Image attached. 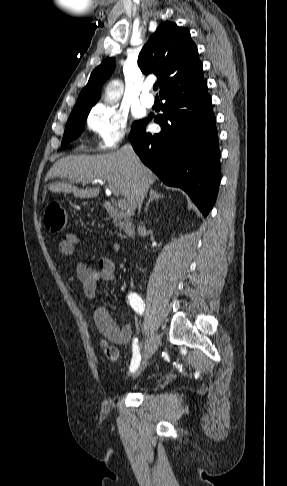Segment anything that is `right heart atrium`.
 <instances>
[{
    "label": "right heart atrium",
    "mask_w": 287,
    "mask_h": 486,
    "mask_svg": "<svg viewBox=\"0 0 287 486\" xmlns=\"http://www.w3.org/2000/svg\"><path fill=\"white\" fill-rule=\"evenodd\" d=\"M86 126L96 137V147L110 150L115 148L127 134L128 118L115 106L98 104L90 111Z\"/></svg>",
    "instance_id": "d8ad5b80"
}]
</instances>
